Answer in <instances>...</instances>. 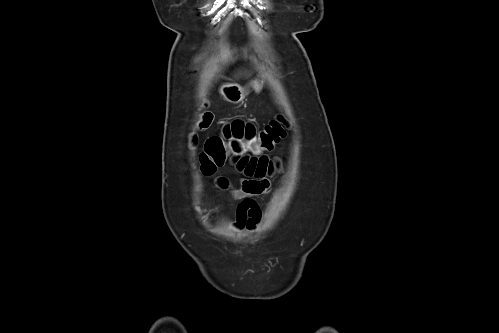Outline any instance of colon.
Wrapping results in <instances>:
<instances>
[{"mask_svg": "<svg viewBox=\"0 0 499 333\" xmlns=\"http://www.w3.org/2000/svg\"><path fill=\"white\" fill-rule=\"evenodd\" d=\"M212 121V115L206 113L201 122V127L206 128ZM285 123L281 117L271 120L249 142L238 139H226L220 136L209 138L200 153V167L203 173L212 174L222 166L229 156H241L247 152L261 153L269 151L284 137Z\"/></svg>", "mask_w": 499, "mask_h": 333, "instance_id": "colon-1", "label": "colon"}]
</instances>
